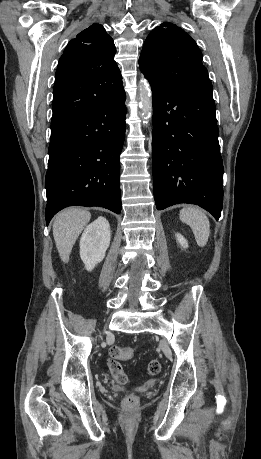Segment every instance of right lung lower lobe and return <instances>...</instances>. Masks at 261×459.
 <instances>
[{"label":"right lung lower lobe","mask_w":261,"mask_h":459,"mask_svg":"<svg viewBox=\"0 0 261 459\" xmlns=\"http://www.w3.org/2000/svg\"><path fill=\"white\" fill-rule=\"evenodd\" d=\"M125 98L122 88L51 132L45 179L47 225L59 210L73 205L121 212L119 156L126 130Z\"/></svg>","instance_id":"right-lung-lower-lobe-1"}]
</instances>
